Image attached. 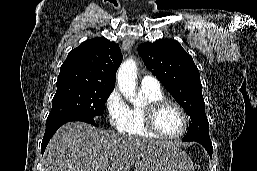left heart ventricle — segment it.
Listing matches in <instances>:
<instances>
[{
    "instance_id": "obj_1",
    "label": "left heart ventricle",
    "mask_w": 257,
    "mask_h": 171,
    "mask_svg": "<svg viewBox=\"0 0 257 171\" xmlns=\"http://www.w3.org/2000/svg\"><path fill=\"white\" fill-rule=\"evenodd\" d=\"M156 124L162 133L176 135L183 129V118L174 106L167 105L158 112Z\"/></svg>"
}]
</instances>
